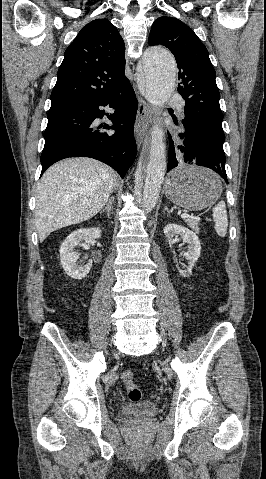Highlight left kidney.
<instances>
[{
    "mask_svg": "<svg viewBox=\"0 0 266 479\" xmlns=\"http://www.w3.org/2000/svg\"><path fill=\"white\" fill-rule=\"evenodd\" d=\"M164 233L169 243L174 242V237L180 236L183 242L188 244V251L184 253V256L189 265L186 270L178 269L183 277H188L192 272L194 263L200 257L201 245L198 236L188 228L177 224L166 225Z\"/></svg>",
    "mask_w": 266,
    "mask_h": 479,
    "instance_id": "obj_1",
    "label": "left kidney"
}]
</instances>
